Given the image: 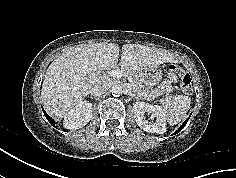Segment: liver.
Returning a JSON list of instances; mask_svg holds the SVG:
<instances>
[{
	"mask_svg": "<svg viewBox=\"0 0 236 178\" xmlns=\"http://www.w3.org/2000/svg\"><path fill=\"white\" fill-rule=\"evenodd\" d=\"M119 52L118 44L102 42L75 47L61 54L48 67L42 84L41 99L47 112L63 118L94 85L110 84V78L99 72L116 68ZM166 62H174L167 52L140 44H126L122 46L119 65L123 70L140 71Z\"/></svg>",
	"mask_w": 236,
	"mask_h": 178,
	"instance_id": "1",
	"label": "liver"
}]
</instances>
